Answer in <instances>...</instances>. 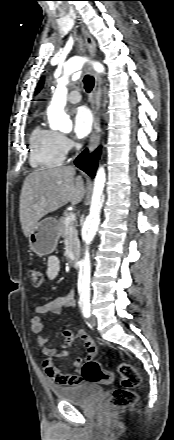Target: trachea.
<instances>
[{
	"instance_id": "obj_1",
	"label": "trachea",
	"mask_w": 174,
	"mask_h": 440,
	"mask_svg": "<svg viewBox=\"0 0 174 440\" xmlns=\"http://www.w3.org/2000/svg\"><path fill=\"white\" fill-rule=\"evenodd\" d=\"M83 82L86 91L89 93L94 87V78L90 75H86L83 79Z\"/></svg>"
}]
</instances>
